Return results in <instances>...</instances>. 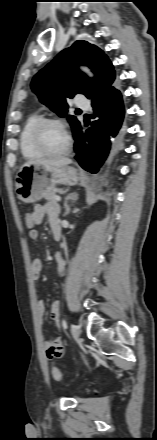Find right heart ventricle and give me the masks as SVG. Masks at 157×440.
<instances>
[{
	"instance_id": "obj_1",
	"label": "right heart ventricle",
	"mask_w": 157,
	"mask_h": 440,
	"mask_svg": "<svg viewBox=\"0 0 157 440\" xmlns=\"http://www.w3.org/2000/svg\"><path fill=\"white\" fill-rule=\"evenodd\" d=\"M42 119L39 113H33L26 119L20 133V149L27 159H38L44 154L38 151L31 142V132L35 124Z\"/></svg>"
}]
</instances>
